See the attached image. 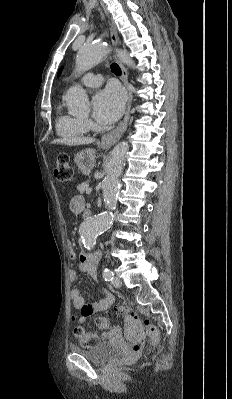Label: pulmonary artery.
<instances>
[{
	"instance_id": "pulmonary-artery-1",
	"label": "pulmonary artery",
	"mask_w": 232,
	"mask_h": 399,
	"mask_svg": "<svg viewBox=\"0 0 232 399\" xmlns=\"http://www.w3.org/2000/svg\"><path fill=\"white\" fill-rule=\"evenodd\" d=\"M105 82V77H101L100 73H91L84 83L86 84L87 90H99V84H105Z\"/></svg>"
}]
</instances>
